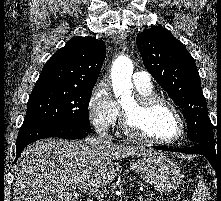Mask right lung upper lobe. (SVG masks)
Wrapping results in <instances>:
<instances>
[{
  "instance_id": "1",
  "label": "right lung upper lobe",
  "mask_w": 221,
  "mask_h": 201,
  "mask_svg": "<svg viewBox=\"0 0 221 201\" xmlns=\"http://www.w3.org/2000/svg\"><path fill=\"white\" fill-rule=\"evenodd\" d=\"M105 56L102 40L74 37L46 62L34 89L92 90Z\"/></svg>"
}]
</instances>
